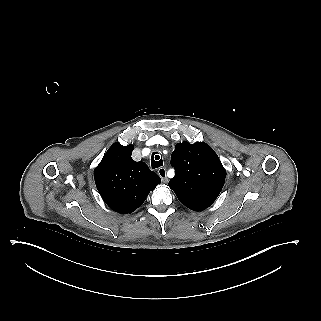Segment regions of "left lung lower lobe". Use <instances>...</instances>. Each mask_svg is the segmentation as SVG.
<instances>
[{
  "label": "left lung lower lobe",
  "mask_w": 321,
  "mask_h": 321,
  "mask_svg": "<svg viewBox=\"0 0 321 321\" xmlns=\"http://www.w3.org/2000/svg\"><path fill=\"white\" fill-rule=\"evenodd\" d=\"M218 197V195H197L178 197L179 201L187 208L193 211H202L209 207Z\"/></svg>",
  "instance_id": "left-lung-lower-lobe-1"
}]
</instances>
